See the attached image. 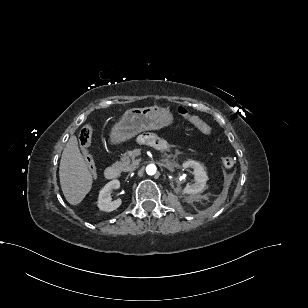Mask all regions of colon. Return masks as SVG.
Listing matches in <instances>:
<instances>
[{"mask_svg": "<svg viewBox=\"0 0 308 308\" xmlns=\"http://www.w3.org/2000/svg\"><path fill=\"white\" fill-rule=\"evenodd\" d=\"M178 112L184 119L192 123L203 134L209 135L212 133V128L209 124L203 121L200 117L191 114L186 108L179 107ZM92 133H93V128L91 125L87 124L83 126L79 132V144L82 150L83 159L91 174L95 176L96 174L95 163L92 154L89 150ZM222 164L225 168H231L235 164V159L230 156L223 157Z\"/></svg>", "mask_w": 308, "mask_h": 308, "instance_id": "1", "label": "colon"}]
</instances>
